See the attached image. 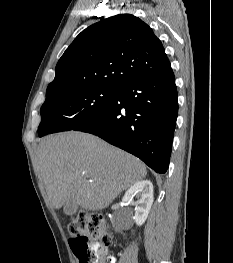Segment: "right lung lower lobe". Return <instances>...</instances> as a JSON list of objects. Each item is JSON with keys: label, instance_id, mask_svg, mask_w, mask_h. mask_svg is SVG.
Wrapping results in <instances>:
<instances>
[{"label": "right lung lower lobe", "instance_id": "obj_1", "mask_svg": "<svg viewBox=\"0 0 233 263\" xmlns=\"http://www.w3.org/2000/svg\"><path fill=\"white\" fill-rule=\"evenodd\" d=\"M171 67L164 73L127 83L110 105L72 130L97 135L139 157L158 173L169 164L178 112Z\"/></svg>", "mask_w": 233, "mask_h": 263}]
</instances>
